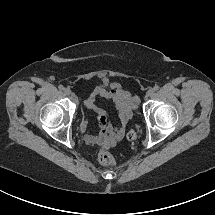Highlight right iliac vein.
Wrapping results in <instances>:
<instances>
[{"instance_id": "right-iliac-vein-1", "label": "right iliac vein", "mask_w": 215, "mask_h": 215, "mask_svg": "<svg viewBox=\"0 0 215 215\" xmlns=\"http://www.w3.org/2000/svg\"><path fill=\"white\" fill-rule=\"evenodd\" d=\"M64 93H65L66 95H70V94H71V90L68 89V88H65V89H64Z\"/></svg>"}]
</instances>
